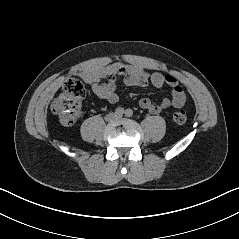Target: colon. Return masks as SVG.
<instances>
[{
    "mask_svg": "<svg viewBox=\"0 0 239 239\" xmlns=\"http://www.w3.org/2000/svg\"><path fill=\"white\" fill-rule=\"evenodd\" d=\"M86 95L84 84L75 78L65 81L61 94L52 102L51 110L64 125L74 124L82 114V101ZM187 113L184 107H178L173 113L176 124L186 122Z\"/></svg>",
    "mask_w": 239,
    "mask_h": 239,
    "instance_id": "1",
    "label": "colon"
}]
</instances>
